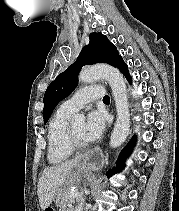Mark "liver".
<instances>
[{
    "label": "liver",
    "instance_id": "1",
    "mask_svg": "<svg viewBox=\"0 0 179 211\" xmlns=\"http://www.w3.org/2000/svg\"><path fill=\"white\" fill-rule=\"evenodd\" d=\"M81 164V158H75L44 169L38 181V198L42 210L48 208L54 197L62 192L61 187Z\"/></svg>",
    "mask_w": 179,
    "mask_h": 211
}]
</instances>
